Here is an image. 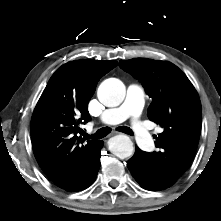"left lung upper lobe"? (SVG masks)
Here are the masks:
<instances>
[{"mask_svg": "<svg viewBox=\"0 0 221 221\" xmlns=\"http://www.w3.org/2000/svg\"><path fill=\"white\" fill-rule=\"evenodd\" d=\"M119 66L138 79L152 98L147 115L164 130L154 136L157 150L149 154L170 187L187 170L197 149L202 118L198 93L170 62L136 58L121 60Z\"/></svg>", "mask_w": 221, "mask_h": 221, "instance_id": "obj_1", "label": "left lung upper lobe"}]
</instances>
